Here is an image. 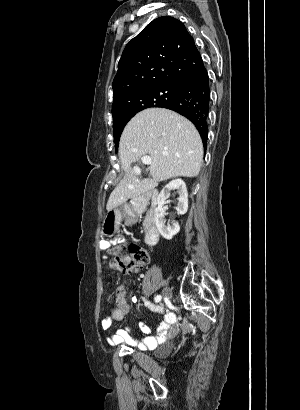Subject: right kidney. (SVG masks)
<instances>
[{
	"label": "right kidney",
	"instance_id": "1",
	"mask_svg": "<svg viewBox=\"0 0 300 410\" xmlns=\"http://www.w3.org/2000/svg\"><path fill=\"white\" fill-rule=\"evenodd\" d=\"M176 190L179 195L176 211L179 215H183L188 210V192L186 184L181 179H174L170 181L160 192L157 197L158 206L155 209V224L161 236L167 240L173 238L180 231L178 222L172 221L171 224L165 221L164 204L170 196V192Z\"/></svg>",
	"mask_w": 300,
	"mask_h": 410
}]
</instances>
